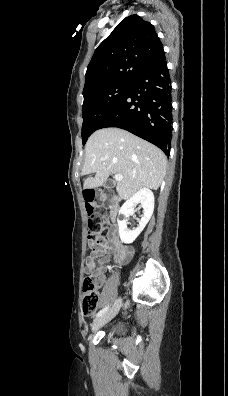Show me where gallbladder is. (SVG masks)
I'll use <instances>...</instances> for the list:
<instances>
[{
	"instance_id": "1",
	"label": "gallbladder",
	"mask_w": 228,
	"mask_h": 396,
	"mask_svg": "<svg viewBox=\"0 0 228 396\" xmlns=\"http://www.w3.org/2000/svg\"><path fill=\"white\" fill-rule=\"evenodd\" d=\"M104 187H105L106 189H108V190H111V188H112L110 184H105Z\"/></svg>"
}]
</instances>
